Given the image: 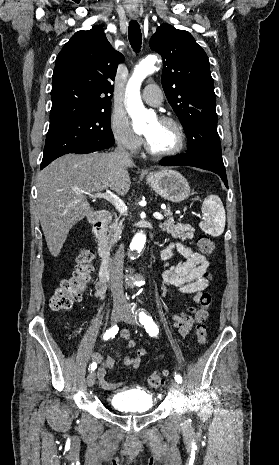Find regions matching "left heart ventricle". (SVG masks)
<instances>
[{"mask_svg":"<svg viewBox=\"0 0 279 465\" xmlns=\"http://www.w3.org/2000/svg\"><path fill=\"white\" fill-rule=\"evenodd\" d=\"M150 146L158 152L173 149L178 141L175 127L168 123L159 122L158 119L151 121L143 130Z\"/></svg>","mask_w":279,"mask_h":465,"instance_id":"left-heart-ventricle-1","label":"left heart ventricle"}]
</instances>
